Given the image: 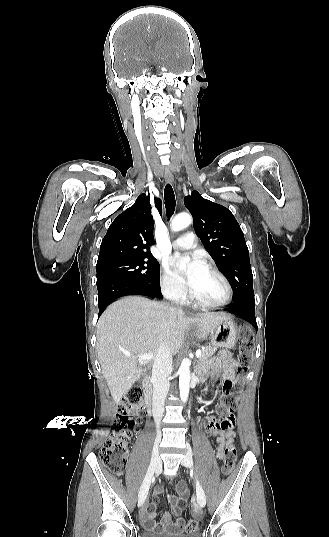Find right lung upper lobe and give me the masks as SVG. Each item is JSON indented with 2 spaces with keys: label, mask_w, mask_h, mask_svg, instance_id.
I'll use <instances>...</instances> for the list:
<instances>
[{
  "label": "right lung upper lobe",
  "mask_w": 329,
  "mask_h": 537,
  "mask_svg": "<svg viewBox=\"0 0 329 537\" xmlns=\"http://www.w3.org/2000/svg\"><path fill=\"white\" fill-rule=\"evenodd\" d=\"M149 201V196L141 194L133 206L113 221L102 240L97 265L115 260L154 258L150 251L155 241ZM155 205L161 214V200L155 198Z\"/></svg>",
  "instance_id": "1"
}]
</instances>
